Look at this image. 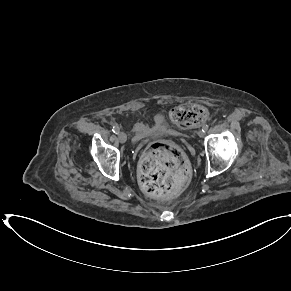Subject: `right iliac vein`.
I'll return each instance as SVG.
<instances>
[{
  "label": "right iliac vein",
  "mask_w": 291,
  "mask_h": 291,
  "mask_svg": "<svg viewBox=\"0 0 291 291\" xmlns=\"http://www.w3.org/2000/svg\"><path fill=\"white\" fill-rule=\"evenodd\" d=\"M118 139L121 143H125L127 141V135L125 132L118 133Z\"/></svg>",
  "instance_id": "63e3f726"
}]
</instances>
